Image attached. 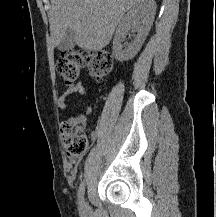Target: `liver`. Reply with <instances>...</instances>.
Segmentation results:
<instances>
[{
	"mask_svg": "<svg viewBox=\"0 0 216 217\" xmlns=\"http://www.w3.org/2000/svg\"><path fill=\"white\" fill-rule=\"evenodd\" d=\"M141 0H51L49 12L53 44L60 43L65 33H75L82 49L99 51L112 39L117 25L127 10Z\"/></svg>",
	"mask_w": 216,
	"mask_h": 217,
	"instance_id": "6515ba94",
	"label": "liver"
}]
</instances>
